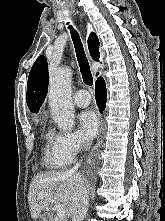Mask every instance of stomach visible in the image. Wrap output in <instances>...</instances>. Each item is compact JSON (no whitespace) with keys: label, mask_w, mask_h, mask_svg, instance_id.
<instances>
[{"label":"stomach","mask_w":165,"mask_h":221,"mask_svg":"<svg viewBox=\"0 0 165 221\" xmlns=\"http://www.w3.org/2000/svg\"><path fill=\"white\" fill-rule=\"evenodd\" d=\"M43 221H48L47 219H44Z\"/></svg>","instance_id":"obj_1"}]
</instances>
